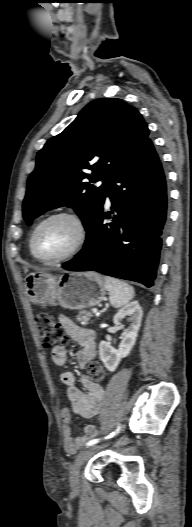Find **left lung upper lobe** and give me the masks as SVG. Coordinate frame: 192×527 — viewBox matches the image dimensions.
Here are the masks:
<instances>
[{
  "instance_id": "5c2ea615",
  "label": "left lung upper lobe",
  "mask_w": 192,
  "mask_h": 527,
  "mask_svg": "<svg viewBox=\"0 0 192 527\" xmlns=\"http://www.w3.org/2000/svg\"><path fill=\"white\" fill-rule=\"evenodd\" d=\"M148 136L141 114L122 99L100 98L89 103L38 152L23 202L26 222L30 225L37 216L65 205L78 213L87 230L108 186ZM100 180V187L90 184Z\"/></svg>"
}]
</instances>
